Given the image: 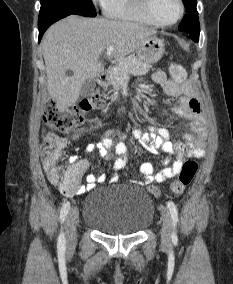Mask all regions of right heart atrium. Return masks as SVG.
I'll list each match as a JSON object with an SVG mask.
<instances>
[{"mask_svg": "<svg viewBox=\"0 0 233 284\" xmlns=\"http://www.w3.org/2000/svg\"><path fill=\"white\" fill-rule=\"evenodd\" d=\"M94 3L104 6L106 0H93Z\"/></svg>", "mask_w": 233, "mask_h": 284, "instance_id": "obj_1", "label": "right heart atrium"}]
</instances>
